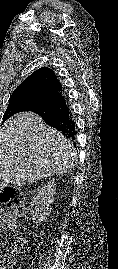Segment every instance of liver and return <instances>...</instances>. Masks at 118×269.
Listing matches in <instances>:
<instances>
[{"instance_id": "1", "label": "liver", "mask_w": 118, "mask_h": 269, "mask_svg": "<svg viewBox=\"0 0 118 269\" xmlns=\"http://www.w3.org/2000/svg\"><path fill=\"white\" fill-rule=\"evenodd\" d=\"M77 151L33 112L10 117L0 127V180L16 186L74 168Z\"/></svg>"}]
</instances>
